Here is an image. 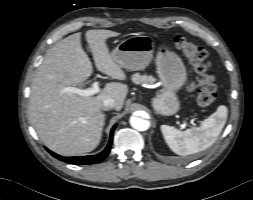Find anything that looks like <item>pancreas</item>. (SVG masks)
I'll return each mask as SVG.
<instances>
[{"instance_id":"pancreas-1","label":"pancreas","mask_w":253,"mask_h":200,"mask_svg":"<svg viewBox=\"0 0 253 200\" xmlns=\"http://www.w3.org/2000/svg\"><path fill=\"white\" fill-rule=\"evenodd\" d=\"M132 81L136 84L144 83V84H153L156 79L151 75H140L139 73L132 75Z\"/></svg>"}]
</instances>
